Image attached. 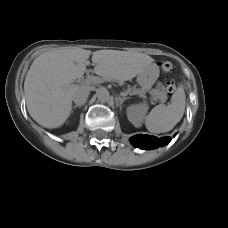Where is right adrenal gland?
Returning <instances> with one entry per match:
<instances>
[{
	"label": "right adrenal gland",
	"mask_w": 228,
	"mask_h": 228,
	"mask_svg": "<svg viewBox=\"0 0 228 228\" xmlns=\"http://www.w3.org/2000/svg\"><path fill=\"white\" fill-rule=\"evenodd\" d=\"M80 107H81L80 105H75L73 106V109L80 108Z\"/></svg>",
	"instance_id": "right-adrenal-gland-1"
}]
</instances>
